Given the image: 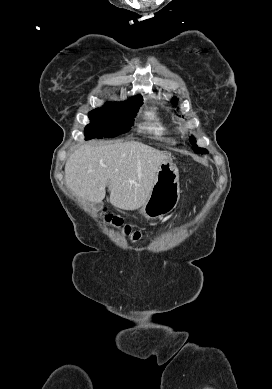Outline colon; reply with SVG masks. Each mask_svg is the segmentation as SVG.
Returning <instances> with one entry per match:
<instances>
[{"label":"colon","mask_w":272,"mask_h":389,"mask_svg":"<svg viewBox=\"0 0 272 389\" xmlns=\"http://www.w3.org/2000/svg\"><path fill=\"white\" fill-rule=\"evenodd\" d=\"M106 221L112 223L113 225L117 227L122 226V221L118 217H115L113 215H106L105 217ZM123 232L125 235L130 236L133 240H137L140 238V233L137 231H132L130 227L124 226L123 227Z\"/></svg>","instance_id":"5ec220e1"}]
</instances>
